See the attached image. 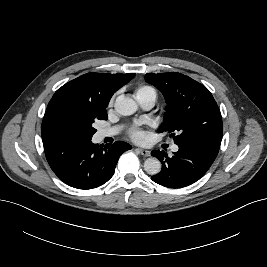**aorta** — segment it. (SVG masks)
Segmentation results:
<instances>
[{"instance_id":"762f6f07","label":"aorta","mask_w":267,"mask_h":267,"mask_svg":"<svg viewBox=\"0 0 267 267\" xmlns=\"http://www.w3.org/2000/svg\"><path fill=\"white\" fill-rule=\"evenodd\" d=\"M115 110L123 115L129 116L134 114L137 111L136 102L124 95H120L116 98L114 104ZM144 170L150 175H156L161 171V162L157 158H148L144 162Z\"/></svg>"}]
</instances>
